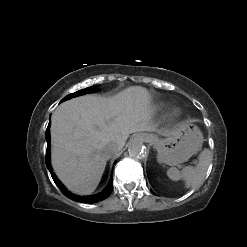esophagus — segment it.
Returning a JSON list of instances; mask_svg holds the SVG:
<instances>
[{"label": "esophagus", "instance_id": "obj_1", "mask_svg": "<svg viewBox=\"0 0 247 247\" xmlns=\"http://www.w3.org/2000/svg\"><path fill=\"white\" fill-rule=\"evenodd\" d=\"M142 140L144 142H149V141H152L153 138L150 135H144L143 138H142Z\"/></svg>", "mask_w": 247, "mask_h": 247}]
</instances>
